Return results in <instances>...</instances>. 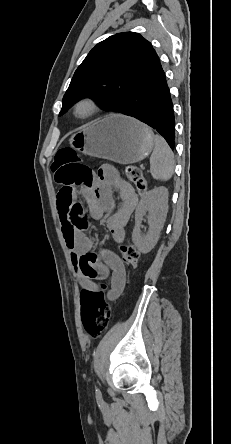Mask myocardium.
Listing matches in <instances>:
<instances>
[{
	"label": "myocardium",
	"mask_w": 231,
	"mask_h": 444,
	"mask_svg": "<svg viewBox=\"0 0 231 444\" xmlns=\"http://www.w3.org/2000/svg\"><path fill=\"white\" fill-rule=\"evenodd\" d=\"M99 110L97 102L91 97L79 99L73 106V115L77 119H88L93 117Z\"/></svg>",
	"instance_id": "myocardium-1"
}]
</instances>
